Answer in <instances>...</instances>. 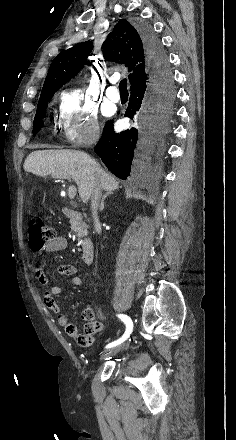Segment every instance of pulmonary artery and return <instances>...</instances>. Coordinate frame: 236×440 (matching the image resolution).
<instances>
[{
  "instance_id": "obj_1",
  "label": "pulmonary artery",
  "mask_w": 236,
  "mask_h": 440,
  "mask_svg": "<svg viewBox=\"0 0 236 440\" xmlns=\"http://www.w3.org/2000/svg\"><path fill=\"white\" fill-rule=\"evenodd\" d=\"M106 96L113 102H118L120 100V94L114 86L107 89Z\"/></svg>"
}]
</instances>
